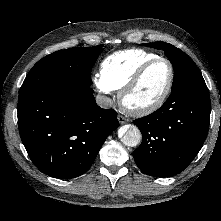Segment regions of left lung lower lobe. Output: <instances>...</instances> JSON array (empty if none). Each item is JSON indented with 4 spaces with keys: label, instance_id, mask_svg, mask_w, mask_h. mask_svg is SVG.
<instances>
[{
    "label": "left lung lower lobe",
    "instance_id": "1",
    "mask_svg": "<svg viewBox=\"0 0 221 221\" xmlns=\"http://www.w3.org/2000/svg\"><path fill=\"white\" fill-rule=\"evenodd\" d=\"M207 87L171 92L155 112L133 122L142 132L134 151L137 166L147 175L170 177L183 171L203 145L210 121Z\"/></svg>",
    "mask_w": 221,
    "mask_h": 221
}]
</instances>
